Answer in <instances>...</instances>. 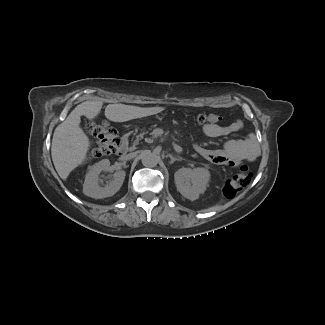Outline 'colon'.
<instances>
[{
  "instance_id": "colon-1",
  "label": "colon",
  "mask_w": 325,
  "mask_h": 325,
  "mask_svg": "<svg viewBox=\"0 0 325 325\" xmlns=\"http://www.w3.org/2000/svg\"><path fill=\"white\" fill-rule=\"evenodd\" d=\"M220 117L215 114H203L198 117V123L217 124ZM88 132L93 137L91 153L94 156H104L114 153L119 144L117 132L106 121L90 123ZM252 171L247 164H242L238 171L229 178L223 188V193L228 198H233L240 190L245 188L251 181Z\"/></svg>"
}]
</instances>
